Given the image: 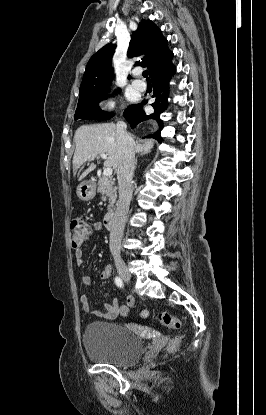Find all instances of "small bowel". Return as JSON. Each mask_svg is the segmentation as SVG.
<instances>
[{"label":"small bowel","instance_id":"1","mask_svg":"<svg viewBox=\"0 0 266 415\" xmlns=\"http://www.w3.org/2000/svg\"><path fill=\"white\" fill-rule=\"evenodd\" d=\"M93 228L95 230H100L102 228V225L101 223L96 222L94 223ZM75 259H76V264L78 266H82L84 264V254H83L82 249L77 248L75 250ZM110 274H111V266L106 265L100 273V278L107 279L110 276ZM81 281L84 285H90L91 278L88 275H84L82 276ZM80 302L82 305V309L86 313L92 314L93 316H96L99 318L115 319L119 315L127 314L129 307L133 304V298L129 296L126 301V305L124 306H120L119 299L115 298L112 300L111 303H106L104 305V311H92L90 307L89 298L86 294H83L80 297Z\"/></svg>","mask_w":266,"mask_h":415}]
</instances>
